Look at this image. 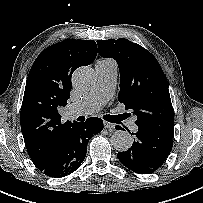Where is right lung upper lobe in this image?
Masks as SVG:
<instances>
[{
	"instance_id": "1",
	"label": "right lung upper lobe",
	"mask_w": 203,
	"mask_h": 203,
	"mask_svg": "<svg viewBox=\"0 0 203 203\" xmlns=\"http://www.w3.org/2000/svg\"><path fill=\"white\" fill-rule=\"evenodd\" d=\"M96 55L95 41L66 39L43 50L34 61L26 82L20 123L36 167L51 158L72 123H61L58 109L67 105L74 70L89 65Z\"/></svg>"
}]
</instances>
